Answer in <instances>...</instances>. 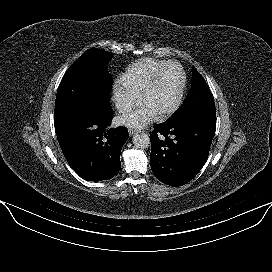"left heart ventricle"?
<instances>
[{
    "label": "left heart ventricle",
    "mask_w": 272,
    "mask_h": 272,
    "mask_svg": "<svg viewBox=\"0 0 272 272\" xmlns=\"http://www.w3.org/2000/svg\"><path fill=\"white\" fill-rule=\"evenodd\" d=\"M181 79L180 69L177 66L169 67L159 84L148 95L144 104L150 107L156 114L169 108L177 98Z\"/></svg>",
    "instance_id": "left-heart-ventricle-1"
}]
</instances>
